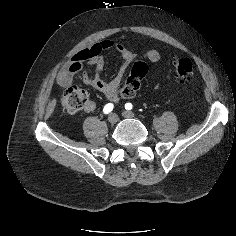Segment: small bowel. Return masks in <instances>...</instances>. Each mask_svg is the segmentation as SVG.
I'll return each instance as SVG.
<instances>
[{"instance_id":"c3829d8e","label":"small bowel","mask_w":236,"mask_h":236,"mask_svg":"<svg viewBox=\"0 0 236 236\" xmlns=\"http://www.w3.org/2000/svg\"><path fill=\"white\" fill-rule=\"evenodd\" d=\"M109 50H115L123 59V63L115 77L111 81L106 82L101 79V72L105 65L104 53ZM145 56L153 63L159 62L161 59V54L156 49L147 50ZM134 57L135 54L125 45L114 43L111 40H103L75 53L60 70L57 81L62 86L71 84L75 75L81 72L84 65L87 64L92 72L83 73L82 82L85 85L98 90L110 102H117L121 98H130L136 94L137 90L124 93L121 85L125 73ZM158 86L159 84H155L154 88H158ZM95 109L96 104L92 101H89L84 107V111L87 113H92Z\"/></svg>"}]
</instances>
